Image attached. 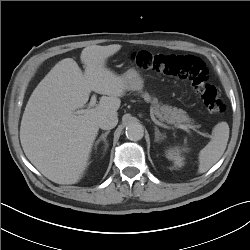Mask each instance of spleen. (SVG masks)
Masks as SVG:
<instances>
[{
  "label": "spleen",
  "instance_id": "obj_1",
  "mask_svg": "<svg viewBox=\"0 0 250 250\" xmlns=\"http://www.w3.org/2000/svg\"><path fill=\"white\" fill-rule=\"evenodd\" d=\"M229 139V125L219 122L212 130V139L199 152L198 173L208 171L223 155Z\"/></svg>",
  "mask_w": 250,
  "mask_h": 250
}]
</instances>
